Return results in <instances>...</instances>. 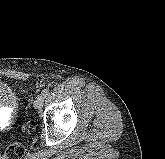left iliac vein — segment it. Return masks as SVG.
<instances>
[{
	"label": "left iliac vein",
	"instance_id": "1",
	"mask_svg": "<svg viewBox=\"0 0 165 159\" xmlns=\"http://www.w3.org/2000/svg\"><path fill=\"white\" fill-rule=\"evenodd\" d=\"M45 97L40 94L35 98L34 108L40 110L44 104Z\"/></svg>",
	"mask_w": 165,
	"mask_h": 159
}]
</instances>
